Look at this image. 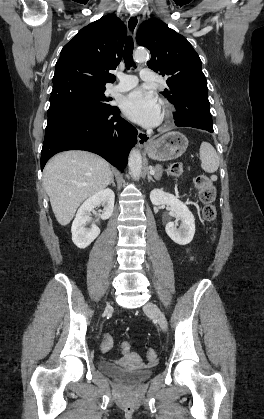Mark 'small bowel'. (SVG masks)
Returning <instances> with one entry per match:
<instances>
[{"instance_id": "c3829d8e", "label": "small bowel", "mask_w": 264, "mask_h": 419, "mask_svg": "<svg viewBox=\"0 0 264 419\" xmlns=\"http://www.w3.org/2000/svg\"><path fill=\"white\" fill-rule=\"evenodd\" d=\"M125 343H126V342L122 343V344H121V347H120V351H121V353H122V354H124V355L128 354V353H129V351H130V350H129V351H126V352H124V351H123V345H124Z\"/></svg>"}]
</instances>
